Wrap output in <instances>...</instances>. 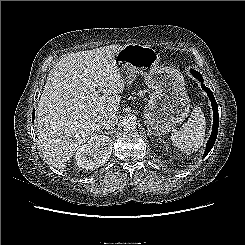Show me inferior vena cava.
<instances>
[{
    "mask_svg": "<svg viewBox=\"0 0 245 245\" xmlns=\"http://www.w3.org/2000/svg\"><path fill=\"white\" fill-rule=\"evenodd\" d=\"M118 122V117L115 114L106 115L102 118L100 128L111 130L114 129Z\"/></svg>",
    "mask_w": 245,
    "mask_h": 245,
    "instance_id": "obj_1",
    "label": "inferior vena cava"
}]
</instances>
